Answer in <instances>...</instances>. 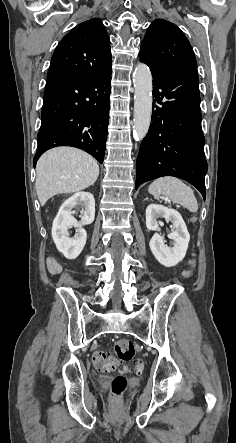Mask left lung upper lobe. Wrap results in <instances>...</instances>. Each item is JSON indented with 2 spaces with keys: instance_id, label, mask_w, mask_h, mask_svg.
I'll use <instances>...</instances> for the list:
<instances>
[{
  "instance_id": "obj_1",
  "label": "left lung upper lobe",
  "mask_w": 236,
  "mask_h": 443,
  "mask_svg": "<svg viewBox=\"0 0 236 443\" xmlns=\"http://www.w3.org/2000/svg\"><path fill=\"white\" fill-rule=\"evenodd\" d=\"M140 61L152 71L185 69L197 71L194 51L173 23L158 19L148 27L139 53Z\"/></svg>"
}]
</instances>
